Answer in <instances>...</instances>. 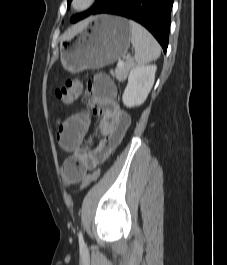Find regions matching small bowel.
Instances as JSON below:
<instances>
[{
	"label": "small bowel",
	"instance_id": "small-bowel-1",
	"mask_svg": "<svg viewBox=\"0 0 227 265\" xmlns=\"http://www.w3.org/2000/svg\"><path fill=\"white\" fill-rule=\"evenodd\" d=\"M88 101L93 115L100 117L101 140L95 147H83L91 124L88 112L69 116L59 127L57 140L65 151L81 157L82 165L74 171L69 183L78 182L85 172L104 163L123 140L131 124V117L122 111L116 102L117 89L112 79L105 74L92 77L87 86Z\"/></svg>",
	"mask_w": 227,
	"mask_h": 265
}]
</instances>
